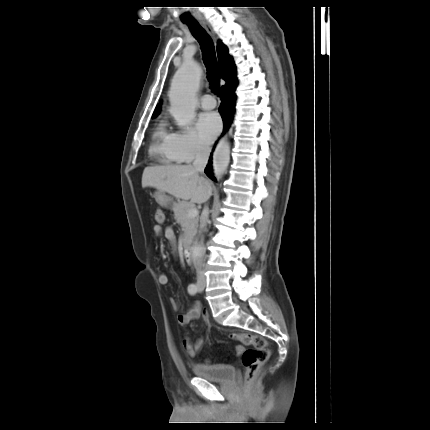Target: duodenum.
Masks as SVG:
<instances>
[{
  "label": "duodenum",
  "mask_w": 430,
  "mask_h": 430,
  "mask_svg": "<svg viewBox=\"0 0 430 430\" xmlns=\"http://www.w3.org/2000/svg\"><path fill=\"white\" fill-rule=\"evenodd\" d=\"M183 256H184L185 261L188 264L192 263V261H193V258H192V249H191V246H190L189 243H185L184 244V247H183Z\"/></svg>",
  "instance_id": "410a0bca"
}]
</instances>
